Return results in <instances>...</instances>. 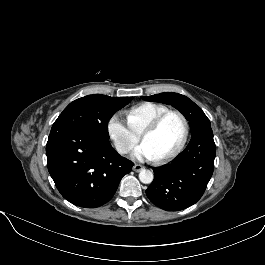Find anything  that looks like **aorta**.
I'll return each mask as SVG.
<instances>
[{
	"mask_svg": "<svg viewBox=\"0 0 265 265\" xmlns=\"http://www.w3.org/2000/svg\"><path fill=\"white\" fill-rule=\"evenodd\" d=\"M154 175L150 170L142 169L139 173V179L144 184H150L153 181Z\"/></svg>",
	"mask_w": 265,
	"mask_h": 265,
	"instance_id": "aorta-1",
	"label": "aorta"
}]
</instances>
